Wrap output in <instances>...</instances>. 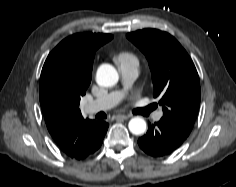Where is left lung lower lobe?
Listing matches in <instances>:
<instances>
[{
    "instance_id": "left-lung-lower-lobe-1",
    "label": "left lung lower lobe",
    "mask_w": 236,
    "mask_h": 187,
    "mask_svg": "<svg viewBox=\"0 0 236 187\" xmlns=\"http://www.w3.org/2000/svg\"><path fill=\"white\" fill-rule=\"evenodd\" d=\"M189 136L174 124L161 119L149 125L146 135L139 138V147L152 157H161L177 149Z\"/></svg>"
}]
</instances>
